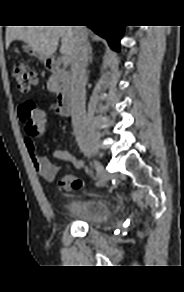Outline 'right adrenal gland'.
Segmentation results:
<instances>
[{
  "label": "right adrenal gland",
  "mask_w": 184,
  "mask_h": 292,
  "mask_svg": "<svg viewBox=\"0 0 184 292\" xmlns=\"http://www.w3.org/2000/svg\"><path fill=\"white\" fill-rule=\"evenodd\" d=\"M92 61H93V49L90 46V48H89V56H88V63L91 64Z\"/></svg>",
  "instance_id": "obj_1"
}]
</instances>
